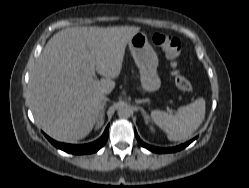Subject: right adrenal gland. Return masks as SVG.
<instances>
[{"label":"right adrenal gland","instance_id":"obj_1","mask_svg":"<svg viewBox=\"0 0 249 188\" xmlns=\"http://www.w3.org/2000/svg\"><path fill=\"white\" fill-rule=\"evenodd\" d=\"M108 99H106V101H104V104H103V108L101 110V113H100V123H103L104 121V114H105V106H106V103H107Z\"/></svg>","mask_w":249,"mask_h":188}]
</instances>
